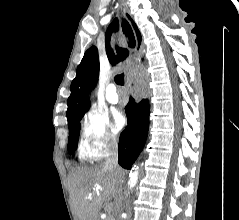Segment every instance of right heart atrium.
Here are the masks:
<instances>
[{"instance_id":"d8ad5b80","label":"right heart atrium","mask_w":239,"mask_h":220,"mask_svg":"<svg viewBox=\"0 0 239 220\" xmlns=\"http://www.w3.org/2000/svg\"><path fill=\"white\" fill-rule=\"evenodd\" d=\"M81 146L89 159H99L116 147L117 140L110 130L108 116L91 107L80 122Z\"/></svg>"}]
</instances>
